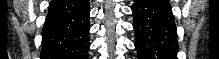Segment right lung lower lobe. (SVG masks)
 <instances>
[{"mask_svg":"<svg viewBox=\"0 0 219 59\" xmlns=\"http://www.w3.org/2000/svg\"><path fill=\"white\" fill-rule=\"evenodd\" d=\"M88 0H52L42 31L41 59H87Z\"/></svg>","mask_w":219,"mask_h":59,"instance_id":"1","label":"right lung lower lobe"}]
</instances>
